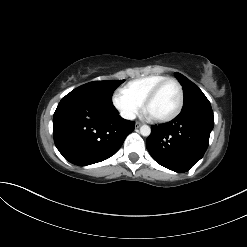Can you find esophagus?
<instances>
[{"instance_id":"1","label":"esophagus","mask_w":247,"mask_h":247,"mask_svg":"<svg viewBox=\"0 0 247 247\" xmlns=\"http://www.w3.org/2000/svg\"><path fill=\"white\" fill-rule=\"evenodd\" d=\"M142 125L141 122H136V127L139 128Z\"/></svg>"}]
</instances>
